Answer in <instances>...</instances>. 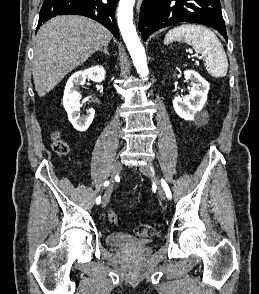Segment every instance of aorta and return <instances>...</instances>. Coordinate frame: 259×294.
<instances>
[{"label": "aorta", "mask_w": 259, "mask_h": 294, "mask_svg": "<svg viewBox=\"0 0 259 294\" xmlns=\"http://www.w3.org/2000/svg\"><path fill=\"white\" fill-rule=\"evenodd\" d=\"M134 4L135 0H120L117 20L121 35L131 55L137 72L141 77H146L149 73L146 54L133 24Z\"/></svg>", "instance_id": "aorta-1"}]
</instances>
